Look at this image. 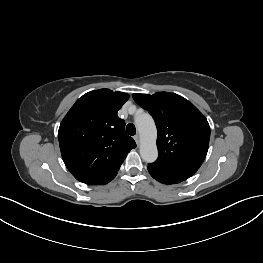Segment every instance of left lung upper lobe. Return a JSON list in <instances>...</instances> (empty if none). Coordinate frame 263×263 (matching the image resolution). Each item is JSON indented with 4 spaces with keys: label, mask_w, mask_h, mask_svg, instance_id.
Returning <instances> with one entry per match:
<instances>
[{
    "label": "left lung upper lobe",
    "mask_w": 263,
    "mask_h": 263,
    "mask_svg": "<svg viewBox=\"0 0 263 263\" xmlns=\"http://www.w3.org/2000/svg\"><path fill=\"white\" fill-rule=\"evenodd\" d=\"M132 96L152 115L158 131L159 156L148 168L169 178L191 177L208 151L210 127L205 116L191 102L174 93Z\"/></svg>",
    "instance_id": "1"
}]
</instances>
